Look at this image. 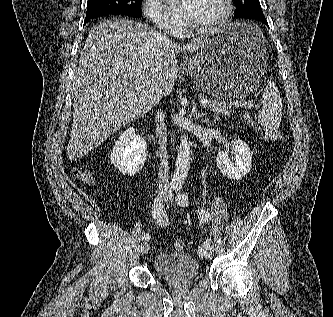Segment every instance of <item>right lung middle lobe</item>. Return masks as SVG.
I'll list each match as a JSON object with an SVG mask.
<instances>
[{"mask_svg":"<svg viewBox=\"0 0 333 317\" xmlns=\"http://www.w3.org/2000/svg\"><path fill=\"white\" fill-rule=\"evenodd\" d=\"M141 0H88L86 18L100 15L121 14L139 18Z\"/></svg>","mask_w":333,"mask_h":317,"instance_id":"1","label":"right lung middle lobe"}]
</instances>
